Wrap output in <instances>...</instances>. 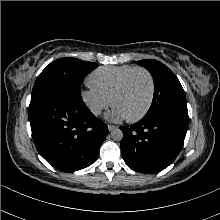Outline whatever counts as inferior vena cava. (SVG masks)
Listing matches in <instances>:
<instances>
[{
    "mask_svg": "<svg viewBox=\"0 0 220 220\" xmlns=\"http://www.w3.org/2000/svg\"><path fill=\"white\" fill-rule=\"evenodd\" d=\"M95 113H100V111H96Z\"/></svg>",
    "mask_w": 220,
    "mask_h": 220,
    "instance_id": "1",
    "label": "inferior vena cava"
}]
</instances>
